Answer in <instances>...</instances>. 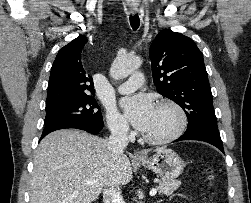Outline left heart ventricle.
<instances>
[{
  "label": "left heart ventricle",
  "instance_id": "obj_1",
  "mask_svg": "<svg viewBox=\"0 0 251 203\" xmlns=\"http://www.w3.org/2000/svg\"><path fill=\"white\" fill-rule=\"evenodd\" d=\"M178 122L177 114L168 107H156L152 121L144 132L148 136L162 137L170 134Z\"/></svg>",
  "mask_w": 251,
  "mask_h": 203
}]
</instances>
